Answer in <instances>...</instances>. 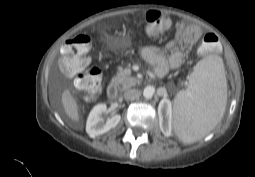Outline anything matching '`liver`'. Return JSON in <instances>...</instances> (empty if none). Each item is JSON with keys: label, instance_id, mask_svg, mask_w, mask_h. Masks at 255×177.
I'll use <instances>...</instances> for the list:
<instances>
[{"label": "liver", "instance_id": "1", "mask_svg": "<svg viewBox=\"0 0 255 177\" xmlns=\"http://www.w3.org/2000/svg\"><path fill=\"white\" fill-rule=\"evenodd\" d=\"M61 102L67 116L74 122H79L78 106L68 90L62 93Z\"/></svg>", "mask_w": 255, "mask_h": 177}]
</instances>
